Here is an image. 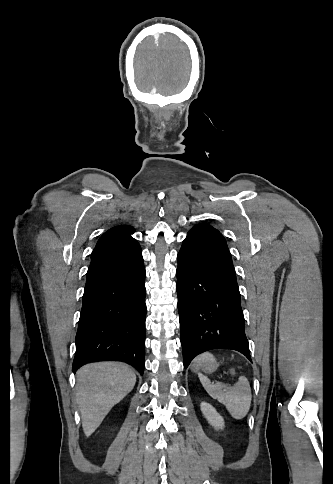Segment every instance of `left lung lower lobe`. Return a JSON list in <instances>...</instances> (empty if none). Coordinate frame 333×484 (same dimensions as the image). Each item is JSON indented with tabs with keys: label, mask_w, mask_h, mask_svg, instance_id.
<instances>
[{
	"label": "left lung lower lobe",
	"mask_w": 333,
	"mask_h": 484,
	"mask_svg": "<svg viewBox=\"0 0 333 484\" xmlns=\"http://www.w3.org/2000/svg\"><path fill=\"white\" fill-rule=\"evenodd\" d=\"M177 259L184 368L212 349H233L251 361L236 273L223 235L209 225H196Z\"/></svg>",
	"instance_id": "1"
}]
</instances>
